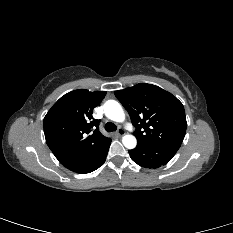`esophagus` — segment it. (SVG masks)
I'll return each mask as SVG.
<instances>
[{
  "label": "esophagus",
  "instance_id": "esophagus-1",
  "mask_svg": "<svg viewBox=\"0 0 233 233\" xmlns=\"http://www.w3.org/2000/svg\"><path fill=\"white\" fill-rule=\"evenodd\" d=\"M116 134H117L118 136H123V135L125 134V131H124V129H122V128H118Z\"/></svg>",
  "mask_w": 233,
  "mask_h": 233
}]
</instances>
